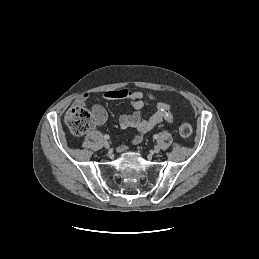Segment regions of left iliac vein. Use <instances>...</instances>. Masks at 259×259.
I'll return each instance as SVG.
<instances>
[{"instance_id":"obj_1","label":"left iliac vein","mask_w":259,"mask_h":259,"mask_svg":"<svg viewBox=\"0 0 259 259\" xmlns=\"http://www.w3.org/2000/svg\"><path fill=\"white\" fill-rule=\"evenodd\" d=\"M154 153H159L160 152V146L156 145L154 147V150H153Z\"/></svg>"}]
</instances>
